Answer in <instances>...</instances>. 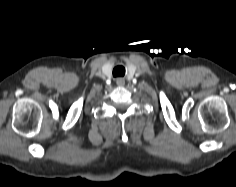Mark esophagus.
<instances>
[{
    "label": "esophagus",
    "mask_w": 236,
    "mask_h": 187,
    "mask_svg": "<svg viewBox=\"0 0 236 187\" xmlns=\"http://www.w3.org/2000/svg\"><path fill=\"white\" fill-rule=\"evenodd\" d=\"M116 84H117L118 86H124V84H125L124 78H117V79H116Z\"/></svg>",
    "instance_id": "34e87169"
}]
</instances>
